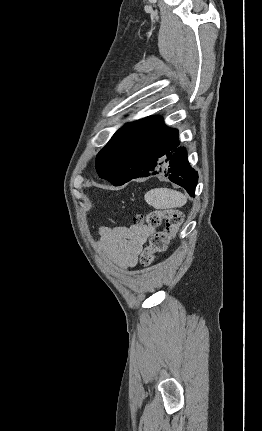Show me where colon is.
Instances as JSON below:
<instances>
[{
  "instance_id": "obj_1",
  "label": "colon",
  "mask_w": 262,
  "mask_h": 431,
  "mask_svg": "<svg viewBox=\"0 0 262 431\" xmlns=\"http://www.w3.org/2000/svg\"><path fill=\"white\" fill-rule=\"evenodd\" d=\"M182 221V214L177 210H151L145 214L137 215L133 218L135 225L145 224L156 228L165 223L162 230L155 231L150 238L149 245L140 254V262L143 265H151L156 254L167 250L170 242L175 238L177 230Z\"/></svg>"
}]
</instances>
